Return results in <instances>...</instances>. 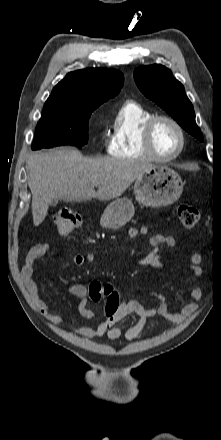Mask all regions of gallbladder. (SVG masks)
I'll return each mask as SVG.
<instances>
[{
	"label": "gallbladder",
	"instance_id": "bac80fb5",
	"mask_svg": "<svg viewBox=\"0 0 221 440\" xmlns=\"http://www.w3.org/2000/svg\"><path fill=\"white\" fill-rule=\"evenodd\" d=\"M57 203H58V199H54V200H52V201L50 202V205H51V206H56Z\"/></svg>",
	"mask_w": 221,
	"mask_h": 440
}]
</instances>
